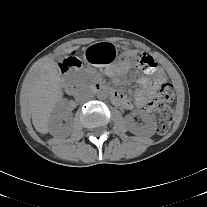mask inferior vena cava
<instances>
[{
	"mask_svg": "<svg viewBox=\"0 0 207 207\" xmlns=\"http://www.w3.org/2000/svg\"><path fill=\"white\" fill-rule=\"evenodd\" d=\"M92 98V95L88 92H81L76 96V101L79 103L87 102Z\"/></svg>",
	"mask_w": 207,
	"mask_h": 207,
	"instance_id": "obj_1",
	"label": "inferior vena cava"
}]
</instances>
